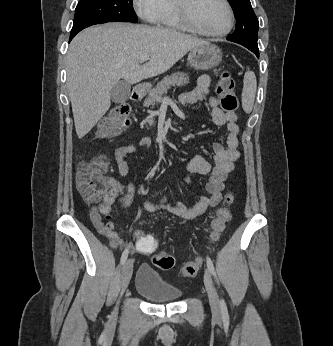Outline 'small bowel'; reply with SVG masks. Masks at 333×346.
Returning a JSON list of instances; mask_svg holds the SVG:
<instances>
[{
  "mask_svg": "<svg viewBox=\"0 0 333 346\" xmlns=\"http://www.w3.org/2000/svg\"><path fill=\"white\" fill-rule=\"evenodd\" d=\"M210 77L201 75L196 86L183 93L179 101L183 105H191L202 99H207L211 109L213 122L227 130V144L216 142L212 145L214 164H210L205 158L195 156L189 159L186 164L187 175L185 181L192 185L194 174L208 175L209 180L205 185L206 196H202L198 203L188 207L183 203H169L165 198L158 202L146 201L144 208L148 212H155L160 209L166 210L171 214L184 219H194L201 216L209 208L218 205L222 199L224 183L234 169V163L240 157L239 152V127L237 125V115L235 112L223 111L219 106V101L210 94ZM152 141L150 138H141L137 144H124L115 149L114 161L116 169L121 176L129 174L127 156L137 152L138 146H149ZM121 196L119 197V195ZM133 189L123 186L116 181H111V190L107 198L101 204L93 205L90 209V219L97 231L105 236L110 244L117 247V254H130L131 250L136 249L122 240L114 230L111 220V211L114 203L119 201L121 204L130 202ZM137 250V249H136ZM200 260V259H199Z\"/></svg>",
  "mask_w": 333,
  "mask_h": 346,
  "instance_id": "c3829d8e",
  "label": "small bowel"
}]
</instances>
